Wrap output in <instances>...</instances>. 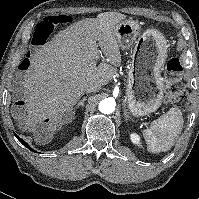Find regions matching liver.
Returning <instances> with one entry per match:
<instances>
[{
    "mask_svg": "<svg viewBox=\"0 0 199 199\" xmlns=\"http://www.w3.org/2000/svg\"><path fill=\"white\" fill-rule=\"evenodd\" d=\"M125 18L121 13L104 12L83 19L32 55L21 87L15 88L25 102L23 114L13 112L21 128L37 133L38 141L39 132L51 140L57 129L74 118L73 107L86 88L91 83L104 86L117 74L121 54L115 27ZM100 55L106 57V63L91 68Z\"/></svg>",
    "mask_w": 199,
    "mask_h": 199,
    "instance_id": "liver-1",
    "label": "liver"
}]
</instances>
